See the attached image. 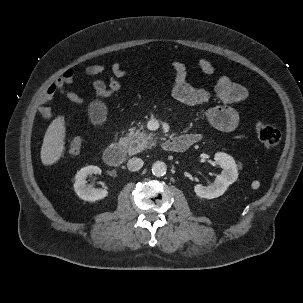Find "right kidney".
I'll use <instances>...</instances> for the list:
<instances>
[{"label":"right kidney","mask_w":303,"mask_h":303,"mask_svg":"<svg viewBox=\"0 0 303 303\" xmlns=\"http://www.w3.org/2000/svg\"><path fill=\"white\" fill-rule=\"evenodd\" d=\"M92 174H101V169L93 165L80 169L74 178V190L81 199L95 202L105 198L108 192L106 189L94 188L86 184V178Z\"/></svg>","instance_id":"ca27d5eb"}]
</instances>
